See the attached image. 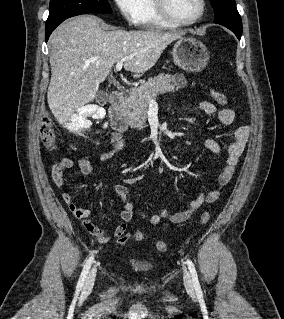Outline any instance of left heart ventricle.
Here are the masks:
<instances>
[{"label":"left heart ventricle","mask_w":284,"mask_h":319,"mask_svg":"<svg viewBox=\"0 0 284 319\" xmlns=\"http://www.w3.org/2000/svg\"><path fill=\"white\" fill-rule=\"evenodd\" d=\"M172 14L182 20L194 18L200 11V0H168Z\"/></svg>","instance_id":"b2bd125f"}]
</instances>
